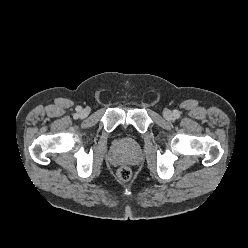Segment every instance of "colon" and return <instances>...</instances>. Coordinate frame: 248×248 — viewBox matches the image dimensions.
<instances>
[{
  "instance_id": "colon-1",
  "label": "colon",
  "mask_w": 248,
  "mask_h": 248,
  "mask_svg": "<svg viewBox=\"0 0 248 248\" xmlns=\"http://www.w3.org/2000/svg\"><path fill=\"white\" fill-rule=\"evenodd\" d=\"M117 178L122 181V182H126L129 181L131 176H132V171L129 167L127 166H122L117 170Z\"/></svg>"
}]
</instances>
